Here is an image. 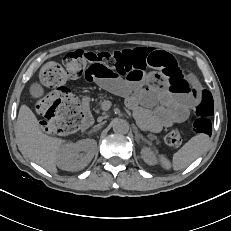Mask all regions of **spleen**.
Returning <instances> with one entry per match:
<instances>
[{
	"label": "spleen",
	"mask_w": 231,
	"mask_h": 231,
	"mask_svg": "<svg viewBox=\"0 0 231 231\" xmlns=\"http://www.w3.org/2000/svg\"><path fill=\"white\" fill-rule=\"evenodd\" d=\"M208 141L209 137L206 134H197L173 155L172 164L164 155H159V162L165 169L186 168L205 151Z\"/></svg>",
	"instance_id": "3e777b00"
}]
</instances>
